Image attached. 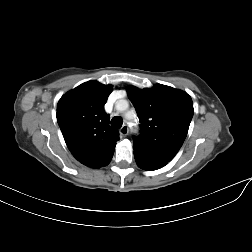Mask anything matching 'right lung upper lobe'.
I'll list each match as a JSON object with an SVG mask.
<instances>
[{"instance_id": "right-lung-upper-lobe-1", "label": "right lung upper lobe", "mask_w": 252, "mask_h": 252, "mask_svg": "<svg viewBox=\"0 0 252 252\" xmlns=\"http://www.w3.org/2000/svg\"><path fill=\"white\" fill-rule=\"evenodd\" d=\"M112 90V85L88 81L63 95L57 105V122L67 147L91 168L108 165L119 140L104 110Z\"/></svg>"}]
</instances>
